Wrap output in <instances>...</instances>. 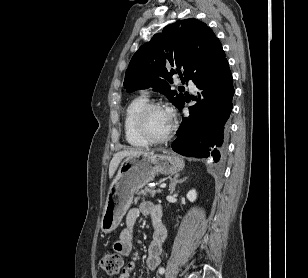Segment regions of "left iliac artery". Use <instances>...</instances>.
<instances>
[{"instance_id":"44dca946","label":"left iliac artery","mask_w":308,"mask_h":278,"mask_svg":"<svg viewBox=\"0 0 308 278\" xmlns=\"http://www.w3.org/2000/svg\"><path fill=\"white\" fill-rule=\"evenodd\" d=\"M159 273H160V274H164V273H165V269H164V268H160V269H159Z\"/></svg>"}]
</instances>
